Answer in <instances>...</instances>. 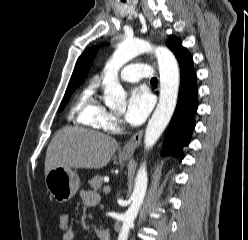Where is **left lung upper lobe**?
Returning <instances> with one entry per match:
<instances>
[{
	"label": "left lung upper lobe",
	"mask_w": 248,
	"mask_h": 240,
	"mask_svg": "<svg viewBox=\"0 0 248 240\" xmlns=\"http://www.w3.org/2000/svg\"><path fill=\"white\" fill-rule=\"evenodd\" d=\"M166 45L175 54L179 64L190 54L187 49L182 46V41L175 36H170L166 41Z\"/></svg>",
	"instance_id": "obj_1"
}]
</instances>
